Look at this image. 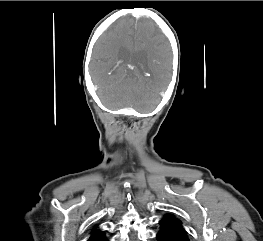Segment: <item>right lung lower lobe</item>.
I'll return each mask as SVG.
<instances>
[{"mask_svg":"<svg viewBox=\"0 0 263 241\" xmlns=\"http://www.w3.org/2000/svg\"><path fill=\"white\" fill-rule=\"evenodd\" d=\"M102 241H108V240L105 238V239H103Z\"/></svg>","mask_w":263,"mask_h":241,"instance_id":"right-lung-lower-lobe-1","label":"right lung lower lobe"}]
</instances>
